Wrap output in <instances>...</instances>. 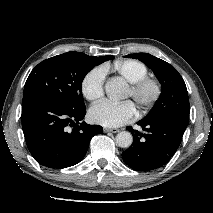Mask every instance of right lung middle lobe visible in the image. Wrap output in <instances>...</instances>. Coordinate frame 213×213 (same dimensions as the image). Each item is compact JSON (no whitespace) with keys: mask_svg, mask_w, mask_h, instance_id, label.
<instances>
[{"mask_svg":"<svg viewBox=\"0 0 213 213\" xmlns=\"http://www.w3.org/2000/svg\"><path fill=\"white\" fill-rule=\"evenodd\" d=\"M97 62L81 52H67L39 63L30 73L24 93H39L71 111L85 109L82 81Z\"/></svg>","mask_w":213,"mask_h":213,"instance_id":"obj_1","label":"right lung middle lobe"}]
</instances>
